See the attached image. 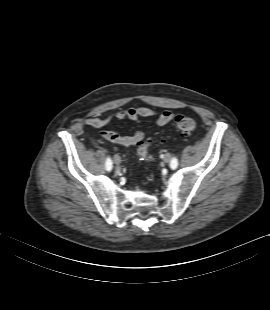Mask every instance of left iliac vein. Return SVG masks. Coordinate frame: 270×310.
Wrapping results in <instances>:
<instances>
[{
	"mask_svg": "<svg viewBox=\"0 0 270 310\" xmlns=\"http://www.w3.org/2000/svg\"><path fill=\"white\" fill-rule=\"evenodd\" d=\"M164 162L169 163L171 162V155L169 153L165 154L164 156Z\"/></svg>",
	"mask_w": 270,
	"mask_h": 310,
	"instance_id": "left-iliac-vein-1",
	"label": "left iliac vein"
}]
</instances>
